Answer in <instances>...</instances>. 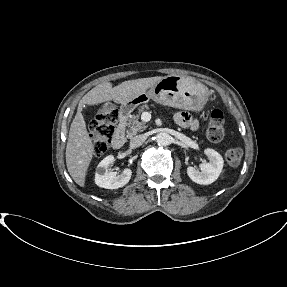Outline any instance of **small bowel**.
Wrapping results in <instances>:
<instances>
[{
    "instance_id": "obj_1",
    "label": "small bowel",
    "mask_w": 287,
    "mask_h": 287,
    "mask_svg": "<svg viewBox=\"0 0 287 287\" xmlns=\"http://www.w3.org/2000/svg\"><path fill=\"white\" fill-rule=\"evenodd\" d=\"M174 120L178 125L191 129H195L198 125L197 121L194 120L191 115L186 112L177 113L174 117Z\"/></svg>"
}]
</instances>
